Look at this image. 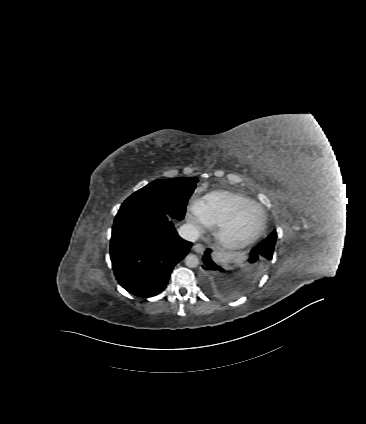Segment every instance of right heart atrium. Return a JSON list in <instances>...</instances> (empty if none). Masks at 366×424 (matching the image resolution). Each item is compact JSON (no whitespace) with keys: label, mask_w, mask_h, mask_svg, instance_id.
I'll return each instance as SVG.
<instances>
[{"label":"right heart atrium","mask_w":366,"mask_h":424,"mask_svg":"<svg viewBox=\"0 0 366 424\" xmlns=\"http://www.w3.org/2000/svg\"><path fill=\"white\" fill-rule=\"evenodd\" d=\"M201 207V201L196 200L190 206L188 213V221L197 231L203 230L206 226V223L200 214Z\"/></svg>","instance_id":"right-heart-atrium-1"}]
</instances>
